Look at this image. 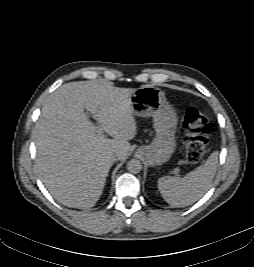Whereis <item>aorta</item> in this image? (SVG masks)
I'll list each match as a JSON object with an SVG mask.
<instances>
[{"label": "aorta", "mask_w": 254, "mask_h": 267, "mask_svg": "<svg viewBox=\"0 0 254 267\" xmlns=\"http://www.w3.org/2000/svg\"><path fill=\"white\" fill-rule=\"evenodd\" d=\"M127 169L130 173L137 174L142 170V163L138 159H131L127 163Z\"/></svg>", "instance_id": "obj_1"}]
</instances>
